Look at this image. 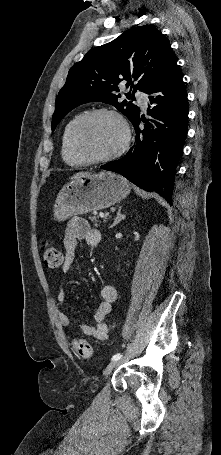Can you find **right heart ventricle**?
<instances>
[{
	"label": "right heart ventricle",
	"mask_w": 221,
	"mask_h": 455,
	"mask_svg": "<svg viewBox=\"0 0 221 455\" xmlns=\"http://www.w3.org/2000/svg\"><path fill=\"white\" fill-rule=\"evenodd\" d=\"M80 116V114H76L68 121L64 127L61 139L62 158L68 165L73 167H80L86 164L85 161L76 154L72 146V129L75 122Z\"/></svg>",
	"instance_id": "obj_1"
}]
</instances>
